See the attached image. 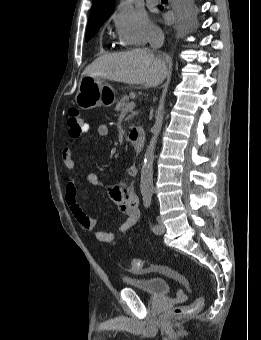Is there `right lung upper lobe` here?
Segmentation results:
<instances>
[{"label":"right lung upper lobe","instance_id":"right-lung-upper-lobe-1","mask_svg":"<svg viewBox=\"0 0 261 340\" xmlns=\"http://www.w3.org/2000/svg\"><path fill=\"white\" fill-rule=\"evenodd\" d=\"M114 1L115 0H93L89 23L108 18L112 13Z\"/></svg>","mask_w":261,"mask_h":340}]
</instances>
